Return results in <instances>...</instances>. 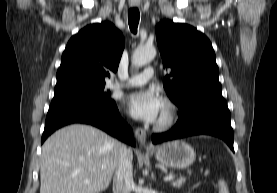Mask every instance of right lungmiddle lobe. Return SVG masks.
Masks as SVG:
<instances>
[{"label": "right lung middle lobe", "mask_w": 277, "mask_h": 193, "mask_svg": "<svg viewBox=\"0 0 277 193\" xmlns=\"http://www.w3.org/2000/svg\"><path fill=\"white\" fill-rule=\"evenodd\" d=\"M105 85L95 86V87H87L74 89L66 92H61L55 94V96H68V97H77L83 98L87 100H91L103 105H110L115 103L114 100L110 98V92H104Z\"/></svg>", "instance_id": "obj_1"}]
</instances>
